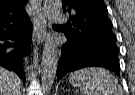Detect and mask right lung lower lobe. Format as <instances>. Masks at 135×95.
<instances>
[{"mask_svg":"<svg viewBox=\"0 0 135 95\" xmlns=\"http://www.w3.org/2000/svg\"><path fill=\"white\" fill-rule=\"evenodd\" d=\"M32 26L29 17L0 25V66L14 71L25 83L23 57L30 52Z\"/></svg>","mask_w":135,"mask_h":95,"instance_id":"obj_1","label":"right lung lower lobe"}]
</instances>
